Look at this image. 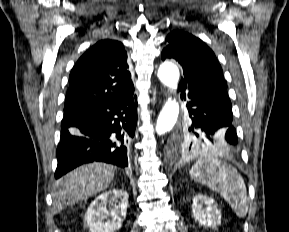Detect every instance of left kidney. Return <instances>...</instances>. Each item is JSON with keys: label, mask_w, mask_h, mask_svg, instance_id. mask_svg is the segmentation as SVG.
Segmentation results:
<instances>
[{"label": "left kidney", "mask_w": 289, "mask_h": 232, "mask_svg": "<svg viewBox=\"0 0 289 232\" xmlns=\"http://www.w3.org/2000/svg\"><path fill=\"white\" fill-rule=\"evenodd\" d=\"M192 212L195 221L201 226L216 228L221 224V211L217 203L206 195L193 197Z\"/></svg>", "instance_id": "5707ae66"}]
</instances>
